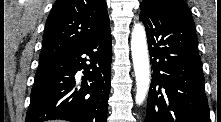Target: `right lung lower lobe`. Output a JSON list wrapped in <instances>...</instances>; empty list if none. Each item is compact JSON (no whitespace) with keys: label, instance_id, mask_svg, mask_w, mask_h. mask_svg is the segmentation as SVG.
Instances as JSON below:
<instances>
[{"label":"right lung lower lobe","instance_id":"1","mask_svg":"<svg viewBox=\"0 0 221 122\" xmlns=\"http://www.w3.org/2000/svg\"><path fill=\"white\" fill-rule=\"evenodd\" d=\"M111 32L39 63L25 122H107ZM83 71L82 82L76 77Z\"/></svg>","mask_w":221,"mask_h":122}]
</instances>
